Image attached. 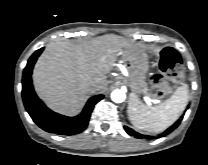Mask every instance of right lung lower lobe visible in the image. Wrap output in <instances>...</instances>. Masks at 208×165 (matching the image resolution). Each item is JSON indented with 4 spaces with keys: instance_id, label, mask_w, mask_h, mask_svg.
<instances>
[{
    "instance_id": "right-lung-lower-lobe-1",
    "label": "right lung lower lobe",
    "mask_w": 208,
    "mask_h": 165,
    "mask_svg": "<svg viewBox=\"0 0 208 165\" xmlns=\"http://www.w3.org/2000/svg\"><path fill=\"white\" fill-rule=\"evenodd\" d=\"M44 48L37 50L28 60L23 71L22 97L25 108L33 121L43 130L56 134L73 135L82 132L88 125L94 105L103 95L91 97L81 114L67 117L48 109L37 97L32 85V69Z\"/></svg>"
}]
</instances>
